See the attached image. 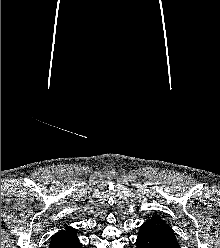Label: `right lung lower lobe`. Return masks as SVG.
Masks as SVG:
<instances>
[{"label":"right lung lower lobe","instance_id":"right-lung-lower-lobe-1","mask_svg":"<svg viewBox=\"0 0 220 248\" xmlns=\"http://www.w3.org/2000/svg\"><path fill=\"white\" fill-rule=\"evenodd\" d=\"M55 248H81V243L79 242L77 236L58 244Z\"/></svg>","mask_w":220,"mask_h":248}]
</instances>
